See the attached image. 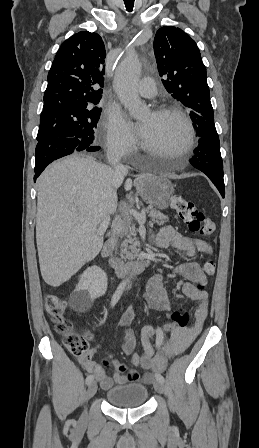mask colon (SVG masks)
Instances as JSON below:
<instances>
[{
    "mask_svg": "<svg viewBox=\"0 0 259 448\" xmlns=\"http://www.w3.org/2000/svg\"><path fill=\"white\" fill-rule=\"evenodd\" d=\"M171 206L177 212L180 219L188 226L192 232L204 236H212L216 231V225L212 219L200 212L195 204L180 195L171 197ZM204 272L207 276L215 273V262L208 260L204 263ZM198 288H204V283H199ZM45 309L55 325V330L64 337V344L68 351L75 356H86L89 350V343L85 337L74 331L72 323L66 318V303L55 294H48L45 299ZM169 324L173 328H182L188 324V312L184 308H179L171 314ZM142 356L135 353L132 356V363L139 365Z\"/></svg>",
    "mask_w": 259,
    "mask_h": 448,
    "instance_id": "1",
    "label": "colon"
}]
</instances>
